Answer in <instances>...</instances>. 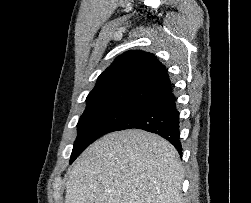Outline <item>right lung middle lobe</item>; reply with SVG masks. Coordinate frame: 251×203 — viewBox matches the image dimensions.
Masks as SVG:
<instances>
[{
  "label": "right lung middle lobe",
  "mask_w": 251,
  "mask_h": 203,
  "mask_svg": "<svg viewBox=\"0 0 251 203\" xmlns=\"http://www.w3.org/2000/svg\"><path fill=\"white\" fill-rule=\"evenodd\" d=\"M139 107L127 105L87 106L80 117L70 158L72 163L92 142L102 135L112 132L123 121L140 111Z\"/></svg>",
  "instance_id": "dd1d6c3e"
}]
</instances>
